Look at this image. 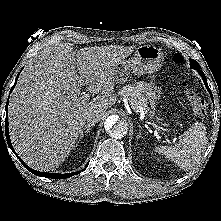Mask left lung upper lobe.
I'll list each match as a JSON object with an SVG mask.
<instances>
[{"label": "left lung upper lobe", "mask_w": 221, "mask_h": 221, "mask_svg": "<svg viewBox=\"0 0 221 221\" xmlns=\"http://www.w3.org/2000/svg\"><path fill=\"white\" fill-rule=\"evenodd\" d=\"M190 66H191V68H193V69H201V67H200V65L198 64V62L195 61V60H193V59L190 60Z\"/></svg>", "instance_id": "left-lung-upper-lobe-1"}]
</instances>
